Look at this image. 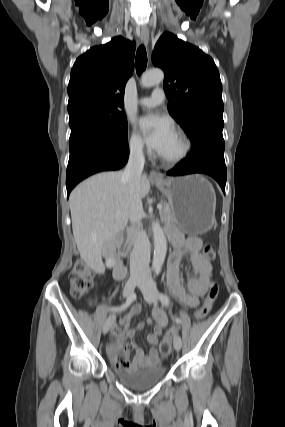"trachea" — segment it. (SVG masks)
<instances>
[{
  "label": "trachea",
  "instance_id": "1",
  "mask_svg": "<svg viewBox=\"0 0 285 427\" xmlns=\"http://www.w3.org/2000/svg\"><path fill=\"white\" fill-rule=\"evenodd\" d=\"M147 66V53L144 45H141L136 53V72L140 75Z\"/></svg>",
  "mask_w": 285,
  "mask_h": 427
}]
</instances>
